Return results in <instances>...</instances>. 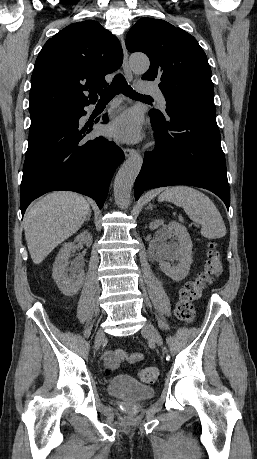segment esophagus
Instances as JSON below:
<instances>
[{
	"instance_id": "1",
	"label": "esophagus",
	"mask_w": 257,
	"mask_h": 459,
	"mask_svg": "<svg viewBox=\"0 0 257 459\" xmlns=\"http://www.w3.org/2000/svg\"><path fill=\"white\" fill-rule=\"evenodd\" d=\"M122 48H123V63H122L123 71L125 73L126 78L129 81H131L133 79V75H132L131 69L128 64V52L126 50L125 42L123 38H122ZM123 152H124L125 157L134 156L136 154V150L133 148H124Z\"/></svg>"
}]
</instances>
